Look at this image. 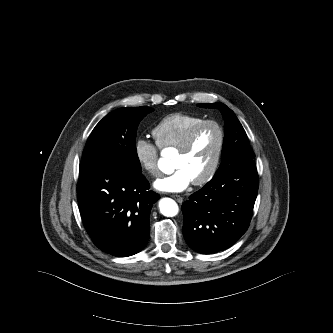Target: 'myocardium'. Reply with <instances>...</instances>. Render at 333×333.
Returning <instances> with one entry per match:
<instances>
[{
  "label": "myocardium",
  "mask_w": 333,
  "mask_h": 333,
  "mask_svg": "<svg viewBox=\"0 0 333 333\" xmlns=\"http://www.w3.org/2000/svg\"><path fill=\"white\" fill-rule=\"evenodd\" d=\"M206 126H214L218 132L219 139H218L217 150H216L213 162H212L211 166L209 167V169L207 170V172L200 178L192 181V183L194 185H203V184L209 182L216 174V172L219 168V165L221 163L224 144H225L224 129L221 126V124L215 120H204V121L200 122L199 124H197L196 126H194L190 130V132L185 137L183 143L177 148V152L180 154H187L188 152H190V150L192 149V146L194 144L196 136L198 135L200 130Z\"/></svg>",
  "instance_id": "obj_1"
}]
</instances>
